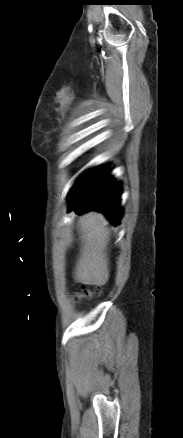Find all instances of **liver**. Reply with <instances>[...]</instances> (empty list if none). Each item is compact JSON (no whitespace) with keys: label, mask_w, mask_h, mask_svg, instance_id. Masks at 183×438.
Masks as SVG:
<instances>
[{"label":"liver","mask_w":183,"mask_h":438,"mask_svg":"<svg viewBox=\"0 0 183 438\" xmlns=\"http://www.w3.org/2000/svg\"><path fill=\"white\" fill-rule=\"evenodd\" d=\"M107 220L97 212H89L81 219V254L77 262L75 280L86 285L102 286L109 279L106 249L109 243Z\"/></svg>","instance_id":"liver-1"}]
</instances>
